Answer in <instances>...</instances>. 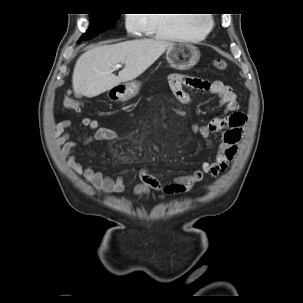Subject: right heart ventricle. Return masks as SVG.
I'll use <instances>...</instances> for the list:
<instances>
[{
	"label": "right heart ventricle",
	"mask_w": 303,
	"mask_h": 303,
	"mask_svg": "<svg viewBox=\"0 0 303 303\" xmlns=\"http://www.w3.org/2000/svg\"><path fill=\"white\" fill-rule=\"evenodd\" d=\"M145 29L167 39L198 38L196 17L189 14H147Z\"/></svg>",
	"instance_id": "right-heart-ventricle-1"
}]
</instances>
